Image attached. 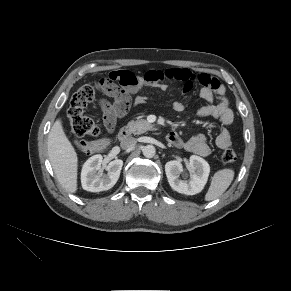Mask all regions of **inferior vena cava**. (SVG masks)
I'll return each instance as SVG.
<instances>
[{"mask_svg":"<svg viewBox=\"0 0 291 291\" xmlns=\"http://www.w3.org/2000/svg\"><path fill=\"white\" fill-rule=\"evenodd\" d=\"M136 143L137 140L134 137H127L121 141L120 145L123 149H128L134 147Z\"/></svg>","mask_w":291,"mask_h":291,"instance_id":"1","label":"inferior vena cava"}]
</instances>
